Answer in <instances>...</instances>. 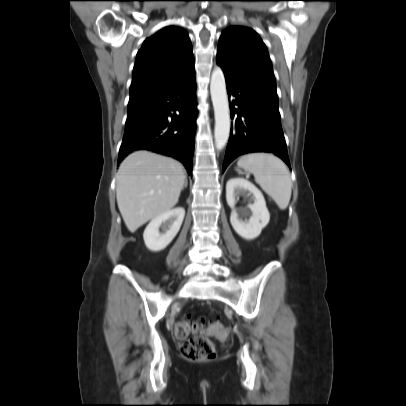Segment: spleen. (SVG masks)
<instances>
[{
    "label": "spleen",
    "instance_id": "obj_1",
    "mask_svg": "<svg viewBox=\"0 0 406 406\" xmlns=\"http://www.w3.org/2000/svg\"><path fill=\"white\" fill-rule=\"evenodd\" d=\"M238 166L252 173L255 181L275 201L281 210L289 204L292 182L285 163L272 154L251 153L242 156Z\"/></svg>",
    "mask_w": 406,
    "mask_h": 406
}]
</instances>
